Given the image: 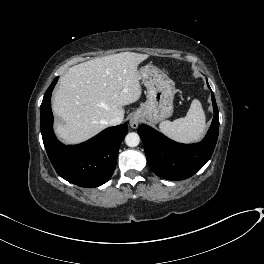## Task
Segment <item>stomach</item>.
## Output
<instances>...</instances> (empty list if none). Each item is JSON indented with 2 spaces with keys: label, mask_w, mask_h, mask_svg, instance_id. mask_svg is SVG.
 Here are the masks:
<instances>
[{
  "label": "stomach",
  "mask_w": 264,
  "mask_h": 264,
  "mask_svg": "<svg viewBox=\"0 0 264 264\" xmlns=\"http://www.w3.org/2000/svg\"><path fill=\"white\" fill-rule=\"evenodd\" d=\"M139 78L147 89V100L136 114L150 124H156L173 113L174 82L159 68L146 65L139 70Z\"/></svg>",
  "instance_id": "0dacf381"
}]
</instances>
